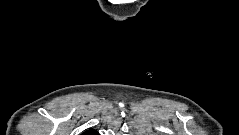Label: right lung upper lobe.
Returning <instances> with one entry per match:
<instances>
[{
	"label": "right lung upper lobe",
	"mask_w": 239,
	"mask_h": 135,
	"mask_svg": "<svg viewBox=\"0 0 239 135\" xmlns=\"http://www.w3.org/2000/svg\"><path fill=\"white\" fill-rule=\"evenodd\" d=\"M96 133H98L96 130L89 129L86 132H84L83 135H96Z\"/></svg>",
	"instance_id": "right-lung-upper-lobe-1"
}]
</instances>
